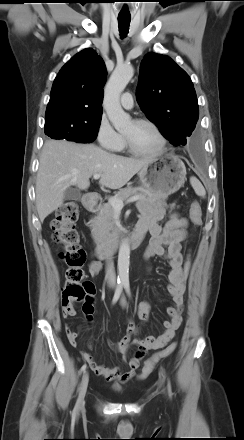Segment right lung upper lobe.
I'll use <instances>...</instances> for the list:
<instances>
[{
  "label": "right lung upper lobe",
  "instance_id": "obj_1",
  "mask_svg": "<svg viewBox=\"0 0 244 440\" xmlns=\"http://www.w3.org/2000/svg\"><path fill=\"white\" fill-rule=\"evenodd\" d=\"M105 79V64L94 50L77 53L54 80L45 121H101Z\"/></svg>",
  "mask_w": 244,
  "mask_h": 440
}]
</instances>
